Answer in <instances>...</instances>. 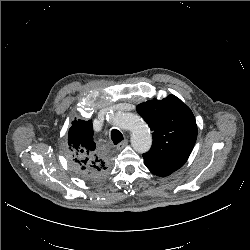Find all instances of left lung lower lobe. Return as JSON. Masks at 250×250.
Masks as SVG:
<instances>
[{"label": "left lung lower lobe", "instance_id": "1", "mask_svg": "<svg viewBox=\"0 0 250 250\" xmlns=\"http://www.w3.org/2000/svg\"><path fill=\"white\" fill-rule=\"evenodd\" d=\"M147 167V166H146ZM153 174L157 175V176H168L170 175L171 173H167V172H163V171H160V170H156V169H153V168H149L147 167Z\"/></svg>", "mask_w": 250, "mask_h": 250}]
</instances>
